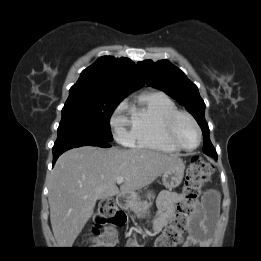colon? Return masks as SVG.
Wrapping results in <instances>:
<instances>
[{"label":"colon","mask_w":261,"mask_h":261,"mask_svg":"<svg viewBox=\"0 0 261 261\" xmlns=\"http://www.w3.org/2000/svg\"><path fill=\"white\" fill-rule=\"evenodd\" d=\"M212 172V166L202 158L198 156L192 158L186 171L184 185L186 202L178 207L177 214L169 226L156 239V247L168 248L181 241L193 218L190 204L200 197ZM125 222L126 215L116 208L114 201L112 199L103 200L95 217V226L89 236V241L97 248L113 246L117 239L115 228L123 226Z\"/></svg>","instance_id":"1"}]
</instances>
